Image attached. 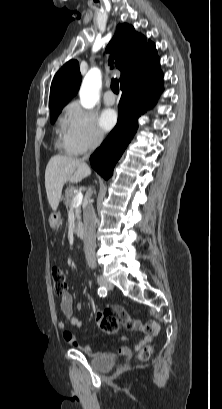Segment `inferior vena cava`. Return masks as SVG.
<instances>
[{
	"mask_svg": "<svg viewBox=\"0 0 222 409\" xmlns=\"http://www.w3.org/2000/svg\"><path fill=\"white\" fill-rule=\"evenodd\" d=\"M103 139L102 133L98 132L95 135V138L90 145L89 152L85 154L81 161L85 163L86 160L89 159L91 153L96 149V147L101 143ZM92 195V190L89 188L86 193V204L83 208V221H84V252L85 258L88 265L91 268L96 267V259H95V248H96V214L90 201V197Z\"/></svg>",
	"mask_w": 222,
	"mask_h": 409,
	"instance_id": "1",
	"label": "inferior vena cava"
}]
</instances>
